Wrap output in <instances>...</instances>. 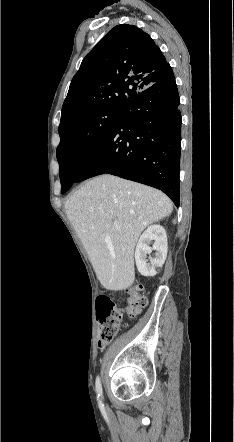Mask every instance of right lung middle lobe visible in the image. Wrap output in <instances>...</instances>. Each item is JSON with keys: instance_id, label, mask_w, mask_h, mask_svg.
<instances>
[{"instance_id": "1", "label": "right lung middle lobe", "mask_w": 234, "mask_h": 442, "mask_svg": "<svg viewBox=\"0 0 234 442\" xmlns=\"http://www.w3.org/2000/svg\"><path fill=\"white\" fill-rule=\"evenodd\" d=\"M121 107L92 112L71 123L60 135L57 147L61 193L72 184L74 165L96 147L110 132Z\"/></svg>"}]
</instances>
